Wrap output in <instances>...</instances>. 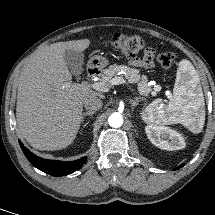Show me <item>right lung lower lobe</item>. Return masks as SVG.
Masks as SVG:
<instances>
[{
  "mask_svg": "<svg viewBox=\"0 0 215 215\" xmlns=\"http://www.w3.org/2000/svg\"><path fill=\"white\" fill-rule=\"evenodd\" d=\"M19 144L25 156L33 166L53 176H64L73 173L74 171L79 169L86 162L87 159L86 157H83L70 162L42 159L34 155L26 147H24L21 141H19Z\"/></svg>",
  "mask_w": 215,
  "mask_h": 215,
  "instance_id": "98d812e1",
  "label": "right lung lower lobe"
}]
</instances>
